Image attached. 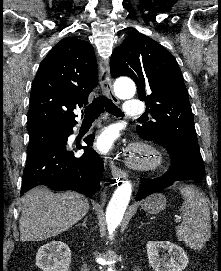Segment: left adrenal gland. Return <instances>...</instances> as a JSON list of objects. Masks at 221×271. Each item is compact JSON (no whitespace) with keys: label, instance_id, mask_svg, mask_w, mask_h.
<instances>
[{"label":"left adrenal gland","instance_id":"a2214340","mask_svg":"<svg viewBox=\"0 0 221 271\" xmlns=\"http://www.w3.org/2000/svg\"><path fill=\"white\" fill-rule=\"evenodd\" d=\"M141 225H144L143 221H141Z\"/></svg>","mask_w":221,"mask_h":271}]
</instances>
